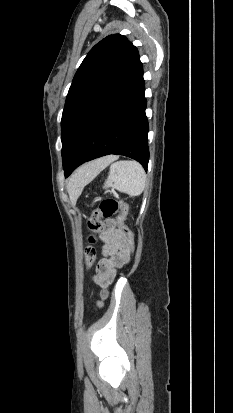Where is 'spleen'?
<instances>
[{
	"label": "spleen",
	"instance_id": "obj_1",
	"mask_svg": "<svg viewBox=\"0 0 233 413\" xmlns=\"http://www.w3.org/2000/svg\"><path fill=\"white\" fill-rule=\"evenodd\" d=\"M146 174L136 161L122 160L111 164L104 188H113L129 196H139L144 191Z\"/></svg>",
	"mask_w": 233,
	"mask_h": 413
}]
</instances>
